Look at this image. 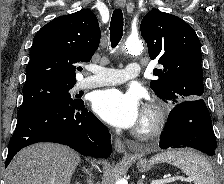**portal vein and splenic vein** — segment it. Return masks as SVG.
I'll list each match as a JSON object with an SVG mask.
<instances>
[{
  "label": "portal vein and splenic vein",
  "instance_id": "1",
  "mask_svg": "<svg viewBox=\"0 0 224 184\" xmlns=\"http://www.w3.org/2000/svg\"><path fill=\"white\" fill-rule=\"evenodd\" d=\"M178 179H179L178 177H172V178H167V179L153 180L151 182V184H169Z\"/></svg>",
  "mask_w": 224,
  "mask_h": 184
}]
</instances>
